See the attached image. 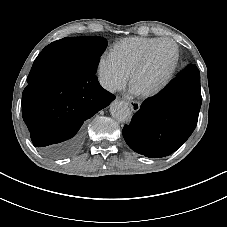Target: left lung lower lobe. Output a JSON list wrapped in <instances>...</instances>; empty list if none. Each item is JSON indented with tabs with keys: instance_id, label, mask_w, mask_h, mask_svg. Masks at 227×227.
<instances>
[{
	"instance_id": "1",
	"label": "left lung lower lobe",
	"mask_w": 227,
	"mask_h": 227,
	"mask_svg": "<svg viewBox=\"0 0 227 227\" xmlns=\"http://www.w3.org/2000/svg\"><path fill=\"white\" fill-rule=\"evenodd\" d=\"M202 102L200 73L189 65L156 97L145 101L123 128L128 146L151 158L176 151L194 131Z\"/></svg>"
}]
</instances>
